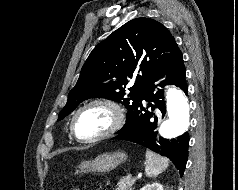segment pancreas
<instances>
[{
  "label": "pancreas",
  "instance_id": "obj_1",
  "mask_svg": "<svg viewBox=\"0 0 238 190\" xmlns=\"http://www.w3.org/2000/svg\"><path fill=\"white\" fill-rule=\"evenodd\" d=\"M134 183L135 179L132 177H122L117 184L118 187L115 190H131Z\"/></svg>",
  "mask_w": 238,
  "mask_h": 190
}]
</instances>
